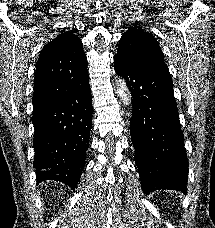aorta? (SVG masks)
Instances as JSON below:
<instances>
[{"instance_id": "obj_1", "label": "aorta", "mask_w": 215, "mask_h": 228, "mask_svg": "<svg viewBox=\"0 0 215 228\" xmlns=\"http://www.w3.org/2000/svg\"><path fill=\"white\" fill-rule=\"evenodd\" d=\"M117 94L120 96L124 106H127L129 110H132V96L125 80H122V78H118Z\"/></svg>"}]
</instances>
